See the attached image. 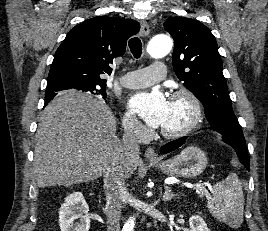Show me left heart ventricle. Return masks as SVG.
I'll use <instances>...</instances> for the list:
<instances>
[{
	"instance_id": "1",
	"label": "left heart ventricle",
	"mask_w": 268,
	"mask_h": 231,
	"mask_svg": "<svg viewBox=\"0 0 268 231\" xmlns=\"http://www.w3.org/2000/svg\"><path fill=\"white\" fill-rule=\"evenodd\" d=\"M191 116V105L186 100H169L165 117L160 128L167 131L178 130L190 120Z\"/></svg>"
}]
</instances>
